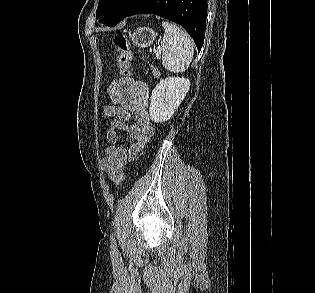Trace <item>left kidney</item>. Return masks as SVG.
<instances>
[{"instance_id":"5707ae66","label":"left kidney","mask_w":315,"mask_h":293,"mask_svg":"<svg viewBox=\"0 0 315 293\" xmlns=\"http://www.w3.org/2000/svg\"><path fill=\"white\" fill-rule=\"evenodd\" d=\"M190 88L189 79L168 77L154 88L149 108L150 118L155 123L169 120L179 107Z\"/></svg>"}]
</instances>
